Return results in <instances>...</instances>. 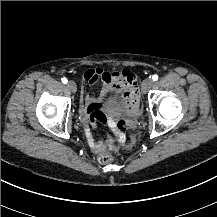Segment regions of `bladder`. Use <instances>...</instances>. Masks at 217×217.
<instances>
[{
  "label": "bladder",
  "mask_w": 217,
  "mask_h": 217,
  "mask_svg": "<svg viewBox=\"0 0 217 217\" xmlns=\"http://www.w3.org/2000/svg\"><path fill=\"white\" fill-rule=\"evenodd\" d=\"M108 110L110 111V115H116V114H121L125 111V106L124 105H118V104H112L108 105Z\"/></svg>",
  "instance_id": "31cf9c89"
}]
</instances>
